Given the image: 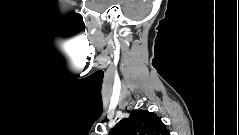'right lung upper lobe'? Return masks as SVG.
<instances>
[{
	"instance_id": "obj_1",
	"label": "right lung upper lobe",
	"mask_w": 239,
	"mask_h": 135,
	"mask_svg": "<svg viewBox=\"0 0 239 135\" xmlns=\"http://www.w3.org/2000/svg\"><path fill=\"white\" fill-rule=\"evenodd\" d=\"M169 131L158 116L147 110H135L120 120L109 135H168Z\"/></svg>"
}]
</instances>
